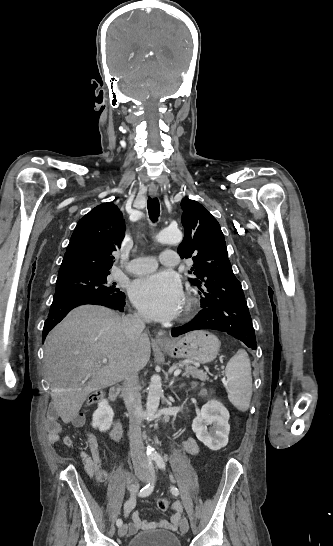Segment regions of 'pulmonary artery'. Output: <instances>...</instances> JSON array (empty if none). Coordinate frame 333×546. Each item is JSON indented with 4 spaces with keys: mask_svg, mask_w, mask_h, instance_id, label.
<instances>
[{
    "mask_svg": "<svg viewBox=\"0 0 333 546\" xmlns=\"http://www.w3.org/2000/svg\"><path fill=\"white\" fill-rule=\"evenodd\" d=\"M161 264L174 267L178 264V255L175 251H163L159 257ZM158 260L154 257H139L130 261L127 271L131 274L141 275L154 271L157 268Z\"/></svg>",
    "mask_w": 333,
    "mask_h": 546,
    "instance_id": "1",
    "label": "pulmonary artery"
}]
</instances>
